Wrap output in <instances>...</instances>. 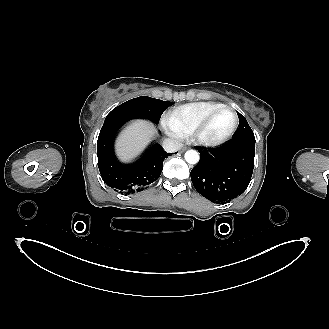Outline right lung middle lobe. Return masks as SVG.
<instances>
[{
	"instance_id": "1",
	"label": "right lung middle lobe",
	"mask_w": 329,
	"mask_h": 329,
	"mask_svg": "<svg viewBox=\"0 0 329 329\" xmlns=\"http://www.w3.org/2000/svg\"><path fill=\"white\" fill-rule=\"evenodd\" d=\"M171 102L141 96L131 99L114 108L106 117L107 122H126L134 118L150 119L158 123L162 113L171 106Z\"/></svg>"
}]
</instances>
